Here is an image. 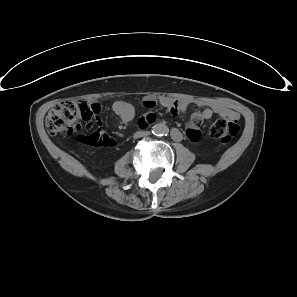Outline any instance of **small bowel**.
I'll return each instance as SVG.
<instances>
[{
    "mask_svg": "<svg viewBox=\"0 0 297 297\" xmlns=\"http://www.w3.org/2000/svg\"><path fill=\"white\" fill-rule=\"evenodd\" d=\"M160 103L163 107L167 108L172 114L184 112L189 104L187 100L172 98H162ZM196 104L199 105L202 108V110L194 112L192 114L186 130L188 138L192 141H198L200 139L201 132L199 130V125L202 123V121L210 119L214 114L217 113L221 116L228 118L236 117V114L233 111L221 106H209L201 101L196 102ZM155 105L156 102L153 99L148 98L144 100V106L148 109H153ZM113 110L125 123L133 120L135 116V109L133 105L125 101L115 102L113 104ZM155 119L156 116L154 113H148L141 118L140 124L142 127H146L152 122H154Z\"/></svg>",
    "mask_w": 297,
    "mask_h": 297,
    "instance_id": "1",
    "label": "small bowel"
}]
</instances>
